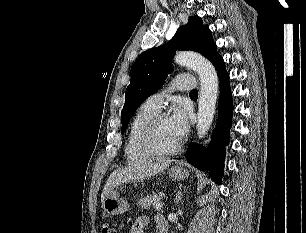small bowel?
<instances>
[{
    "label": "small bowel",
    "mask_w": 306,
    "mask_h": 233,
    "mask_svg": "<svg viewBox=\"0 0 306 233\" xmlns=\"http://www.w3.org/2000/svg\"><path fill=\"white\" fill-rule=\"evenodd\" d=\"M148 224V219L146 217H140L138 218L133 225L131 226L130 233H144L145 227ZM162 225H167L165 219L162 216H159L157 218V226L158 229Z\"/></svg>",
    "instance_id": "obj_1"
}]
</instances>
